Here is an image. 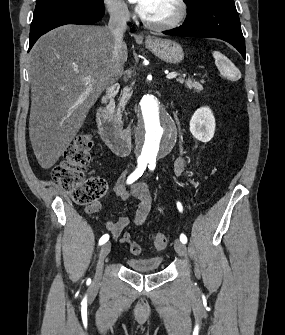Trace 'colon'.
Here are the masks:
<instances>
[{
    "mask_svg": "<svg viewBox=\"0 0 285 335\" xmlns=\"http://www.w3.org/2000/svg\"><path fill=\"white\" fill-rule=\"evenodd\" d=\"M93 146L94 136L91 133L77 136L64 152V160L53 170L54 180L75 203L81 205L96 202L107 191L104 179L85 176V169L90 162ZM120 241L128 244L132 254L141 253L140 245L131 242L128 232L123 233ZM152 242L156 250H163L167 246L168 238L163 233H156L152 237Z\"/></svg>",
    "mask_w": 285,
    "mask_h": 335,
    "instance_id": "obj_1",
    "label": "colon"
}]
</instances>
